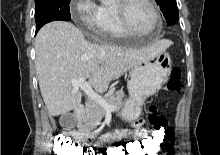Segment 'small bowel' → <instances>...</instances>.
<instances>
[{
    "mask_svg": "<svg viewBox=\"0 0 220 155\" xmlns=\"http://www.w3.org/2000/svg\"><path fill=\"white\" fill-rule=\"evenodd\" d=\"M124 133V130H116L115 133L113 130H108V132L103 133L102 136H91V140H86V145L112 144L114 138H119L121 140ZM144 135H149V133L142 127V121L136 122L132 134L133 139H144Z\"/></svg>",
    "mask_w": 220,
    "mask_h": 155,
    "instance_id": "obj_1",
    "label": "small bowel"
}]
</instances>
